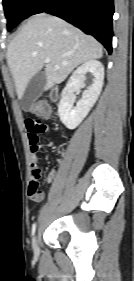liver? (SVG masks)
Listing matches in <instances>:
<instances>
[{
  "mask_svg": "<svg viewBox=\"0 0 134 281\" xmlns=\"http://www.w3.org/2000/svg\"><path fill=\"white\" fill-rule=\"evenodd\" d=\"M102 45L66 21L45 13L32 16L10 42L7 63L18 98L24 95L31 78L46 64L45 90L61 83L75 67L101 58Z\"/></svg>",
  "mask_w": 134,
  "mask_h": 281,
  "instance_id": "1",
  "label": "liver"
}]
</instances>
